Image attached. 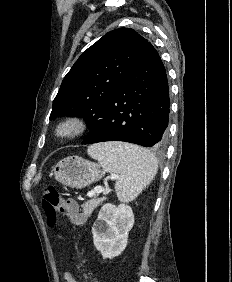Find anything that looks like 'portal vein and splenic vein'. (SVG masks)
Instances as JSON below:
<instances>
[{
	"instance_id": "1",
	"label": "portal vein and splenic vein",
	"mask_w": 232,
	"mask_h": 282,
	"mask_svg": "<svg viewBox=\"0 0 232 282\" xmlns=\"http://www.w3.org/2000/svg\"><path fill=\"white\" fill-rule=\"evenodd\" d=\"M116 178H117V175L112 176V179H116ZM103 191H104V188L102 186H97V187L94 188V190L89 191L87 193V196L92 197L94 195H98V194L102 193Z\"/></svg>"
}]
</instances>
